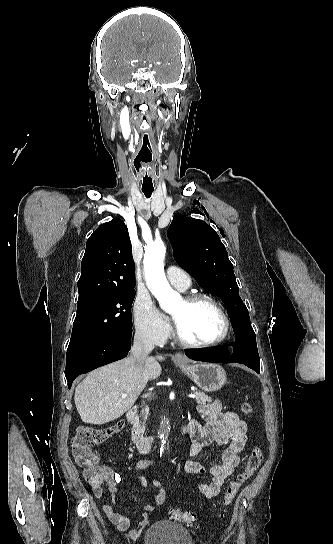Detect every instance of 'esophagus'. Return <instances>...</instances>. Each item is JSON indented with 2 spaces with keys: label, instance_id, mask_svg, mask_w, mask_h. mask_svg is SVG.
Segmentation results:
<instances>
[{
  "label": "esophagus",
  "instance_id": "34e87169",
  "mask_svg": "<svg viewBox=\"0 0 333 544\" xmlns=\"http://www.w3.org/2000/svg\"><path fill=\"white\" fill-rule=\"evenodd\" d=\"M174 359L178 361H185V358L181 353H175Z\"/></svg>",
  "mask_w": 333,
  "mask_h": 544
}]
</instances>
